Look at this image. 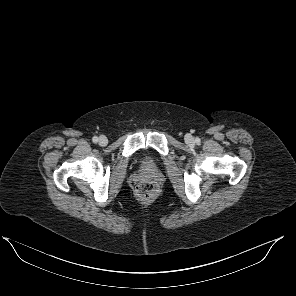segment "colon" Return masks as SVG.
<instances>
[{
	"mask_svg": "<svg viewBox=\"0 0 296 296\" xmlns=\"http://www.w3.org/2000/svg\"><path fill=\"white\" fill-rule=\"evenodd\" d=\"M137 192L144 200L152 199L157 193V185L150 180L142 181L137 186Z\"/></svg>",
	"mask_w": 296,
	"mask_h": 296,
	"instance_id": "5ec220e1",
	"label": "colon"
}]
</instances>
